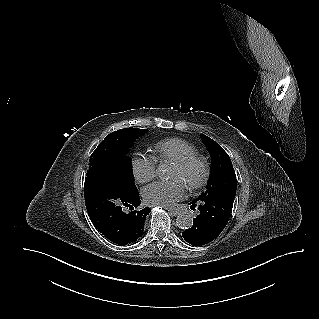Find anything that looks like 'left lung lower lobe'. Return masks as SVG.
Instances as JSON below:
<instances>
[{
	"label": "left lung lower lobe",
	"mask_w": 319,
	"mask_h": 319,
	"mask_svg": "<svg viewBox=\"0 0 319 319\" xmlns=\"http://www.w3.org/2000/svg\"><path fill=\"white\" fill-rule=\"evenodd\" d=\"M235 194L226 192L202 201H192L191 209L198 206L200 213L193 219V226L182 233L184 240L201 246L218 237L231 216Z\"/></svg>",
	"instance_id": "obj_1"
}]
</instances>
